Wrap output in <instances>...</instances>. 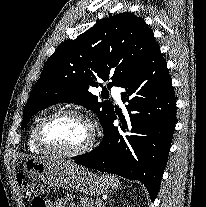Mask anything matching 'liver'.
Wrapping results in <instances>:
<instances>
[{"label":"liver","instance_id":"liver-1","mask_svg":"<svg viewBox=\"0 0 206 207\" xmlns=\"http://www.w3.org/2000/svg\"><path fill=\"white\" fill-rule=\"evenodd\" d=\"M63 163L66 164V165L76 166L75 164L70 163V162H63Z\"/></svg>","mask_w":206,"mask_h":207}]
</instances>
